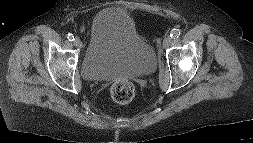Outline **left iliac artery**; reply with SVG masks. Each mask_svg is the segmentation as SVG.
I'll use <instances>...</instances> for the list:
<instances>
[{
	"label": "left iliac artery",
	"instance_id": "44dca946",
	"mask_svg": "<svg viewBox=\"0 0 253 143\" xmlns=\"http://www.w3.org/2000/svg\"><path fill=\"white\" fill-rule=\"evenodd\" d=\"M181 34V31L179 29H172L170 33V37L173 39H177Z\"/></svg>",
	"mask_w": 253,
	"mask_h": 143
}]
</instances>
